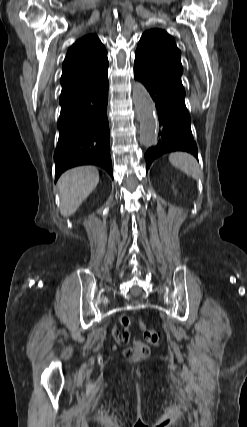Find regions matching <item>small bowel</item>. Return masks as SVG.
Returning a JSON list of instances; mask_svg holds the SVG:
<instances>
[{"label":"small bowel","mask_w":247,"mask_h":427,"mask_svg":"<svg viewBox=\"0 0 247 427\" xmlns=\"http://www.w3.org/2000/svg\"><path fill=\"white\" fill-rule=\"evenodd\" d=\"M131 322V317L124 315L119 318L120 328L113 327L112 336L118 343L124 344L129 340Z\"/></svg>","instance_id":"1"}]
</instances>
